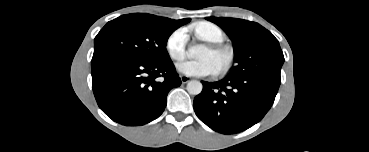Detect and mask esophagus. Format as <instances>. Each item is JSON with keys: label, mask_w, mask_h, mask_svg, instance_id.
<instances>
[{"label": "esophagus", "mask_w": 369, "mask_h": 152, "mask_svg": "<svg viewBox=\"0 0 369 152\" xmlns=\"http://www.w3.org/2000/svg\"><path fill=\"white\" fill-rule=\"evenodd\" d=\"M181 82L183 84L187 83L189 81V77L185 76V75H181L180 76Z\"/></svg>", "instance_id": "esophagus-1"}]
</instances>
